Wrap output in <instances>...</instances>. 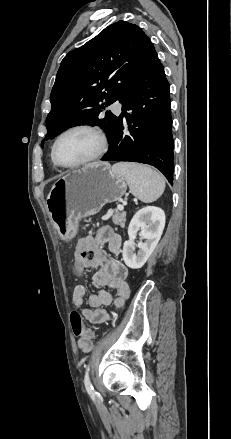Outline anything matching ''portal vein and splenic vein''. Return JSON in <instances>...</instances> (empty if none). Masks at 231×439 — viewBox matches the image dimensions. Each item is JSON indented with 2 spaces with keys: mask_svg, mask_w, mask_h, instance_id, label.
Instances as JSON below:
<instances>
[{
  "mask_svg": "<svg viewBox=\"0 0 231 439\" xmlns=\"http://www.w3.org/2000/svg\"><path fill=\"white\" fill-rule=\"evenodd\" d=\"M123 205H126V202H123ZM123 205H119L118 206V209L120 210V211H123L124 210V206Z\"/></svg>",
  "mask_w": 231,
  "mask_h": 439,
  "instance_id": "1",
  "label": "portal vein and splenic vein"
}]
</instances>
